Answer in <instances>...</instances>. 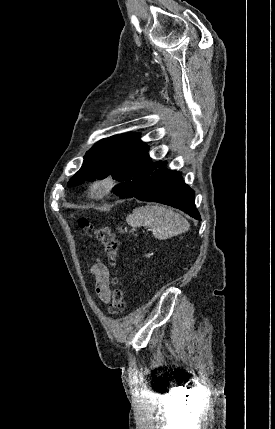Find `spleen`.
Here are the masks:
<instances>
[{"mask_svg":"<svg viewBox=\"0 0 275 429\" xmlns=\"http://www.w3.org/2000/svg\"><path fill=\"white\" fill-rule=\"evenodd\" d=\"M132 227L147 226L155 238L165 240L189 229L188 221L164 206H142L133 210L126 219Z\"/></svg>","mask_w":275,"mask_h":429,"instance_id":"spleen-1","label":"spleen"}]
</instances>
